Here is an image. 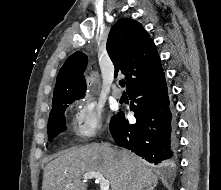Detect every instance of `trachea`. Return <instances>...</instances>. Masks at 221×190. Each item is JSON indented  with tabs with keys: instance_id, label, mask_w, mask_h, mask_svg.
Returning <instances> with one entry per match:
<instances>
[{
	"instance_id": "3493384b",
	"label": "trachea",
	"mask_w": 221,
	"mask_h": 190,
	"mask_svg": "<svg viewBox=\"0 0 221 190\" xmlns=\"http://www.w3.org/2000/svg\"><path fill=\"white\" fill-rule=\"evenodd\" d=\"M119 84H120L121 87H124L125 84H126V82H125V80H121V81L119 82Z\"/></svg>"
}]
</instances>
